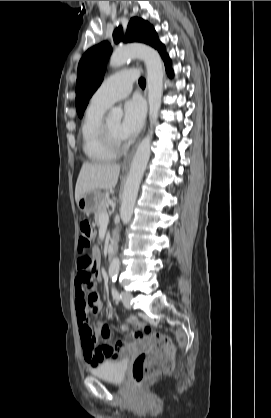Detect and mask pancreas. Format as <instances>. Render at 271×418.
<instances>
[{"instance_id":"cf45deb5","label":"pancreas","mask_w":271,"mask_h":418,"mask_svg":"<svg viewBox=\"0 0 271 418\" xmlns=\"http://www.w3.org/2000/svg\"><path fill=\"white\" fill-rule=\"evenodd\" d=\"M107 199H108V193L102 196V199L100 200V203L95 211V224L98 226L100 225V217L102 214L107 212Z\"/></svg>"}]
</instances>
